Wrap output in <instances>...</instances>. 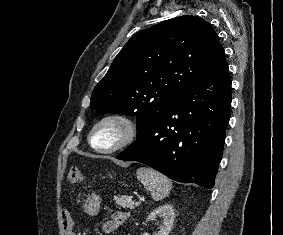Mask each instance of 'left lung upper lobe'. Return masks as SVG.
<instances>
[{"label":"left lung upper lobe","mask_w":283,"mask_h":235,"mask_svg":"<svg viewBox=\"0 0 283 235\" xmlns=\"http://www.w3.org/2000/svg\"><path fill=\"white\" fill-rule=\"evenodd\" d=\"M225 63L208 22L192 15L169 19L127 42L94 88L90 106L99 113L135 115L138 138L187 88Z\"/></svg>","instance_id":"1"}]
</instances>
